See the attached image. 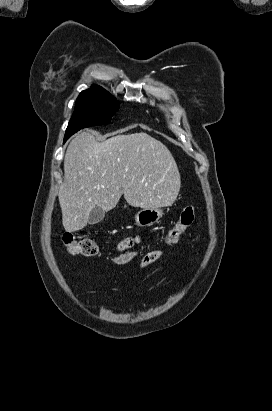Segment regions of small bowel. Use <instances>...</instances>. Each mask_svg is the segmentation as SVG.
Masks as SVG:
<instances>
[{
	"label": "small bowel",
	"mask_w": 272,
	"mask_h": 411,
	"mask_svg": "<svg viewBox=\"0 0 272 411\" xmlns=\"http://www.w3.org/2000/svg\"><path fill=\"white\" fill-rule=\"evenodd\" d=\"M139 237L133 236V237H127L124 240H122L119 244V249L120 250H125L130 247H132L134 244L139 242ZM164 255V252L162 250H152L147 252L143 258L141 259L140 265L142 267L148 266L154 262H156L158 259H160Z\"/></svg>",
	"instance_id": "obj_1"
}]
</instances>
